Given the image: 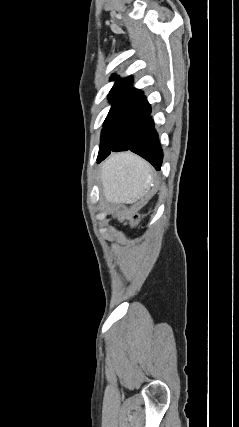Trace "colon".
Masks as SVG:
<instances>
[{"label":"colon","mask_w":239,"mask_h":427,"mask_svg":"<svg viewBox=\"0 0 239 427\" xmlns=\"http://www.w3.org/2000/svg\"><path fill=\"white\" fill-rule=\"evenodd\" d=\"M137 221H138V217H137V216H134V217H132V218H131L130 223H131L132 225H134V224H136V223H137Z\"/></svg>","instance_id":"1"}]
</instances>
